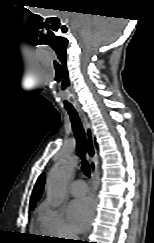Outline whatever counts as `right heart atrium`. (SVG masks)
I'll return each instance as SVG.
<instances>
[{
	"label": "right heart atrium",
	"mask_w": 154,
	"mask_h": 243,
	"mask_svg": "<svg viewBox=\"0 0 154 243\" xmlns=\"http://www.w3.org/2000/svg\"><path fill=\"white\" fill-rule=\"evenodd\" d=\"M39 227L43 234L56 239L74 238L64 212L51 203L45 202L39 211Z\"/></svg>",
	"instance_id": "right-heart-atrium-1"
}]
</instances>
